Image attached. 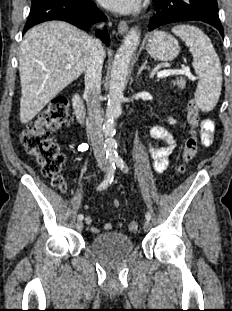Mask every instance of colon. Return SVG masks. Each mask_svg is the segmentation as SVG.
Listing matches in <instances>:
<instances>
[{"instance_id":"5ec220e1","label":"colon","mask_w":232,"mask_h":311,"mask_svg":"<svg viewBox=\"0 0 232 311\" xmlns=\"http://www.w3.org/2000/svg\"><path fill=\"white\" fill-rule=\"evenodd\" d=\"M186 120L189 134L181 154V171H184L186 165L194 159L199 145L196 129L200 123V114L198 106L193 101L187 105ZM69 122L67 99L57 96L21 133V141L27 153L40 166L43 175L50 178L53 184L62 190L66 188L67 183L62 171L65 156L51 133L68 125ZM127 227L132 232H137L139 229L137 221H130Z\"/></svg>"}]
</instances>
